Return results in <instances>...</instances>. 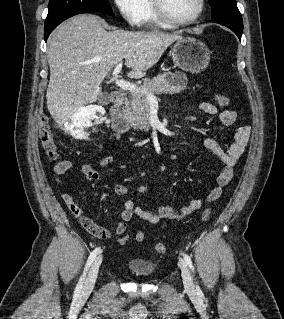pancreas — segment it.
I'll list each match as a JSON object with an SVG mask.
<instances>
[{
    "label": "pancreas",
    "mask_w": 284,
    "mask_h": 319,
    "mask_svg": "<svg viewBox=\"0 0 284 319\" xmlns=\"http://www.w3.org/2000/svg\"><path fill=\"white\" fill-rule=\"evenodd\" d=\"M179 77H182L184 80L178 82ZM186 83L187 79L184 74L167 72L159 74L153 79H146L141 88L153 95L174 94L184 90ZM123 111L132 128L146 132L149 131L150 103L144 92H131V97L125 102V109Z\"/></svg>",
    "instance_id": "pancreas-1"
}]
</instances>
